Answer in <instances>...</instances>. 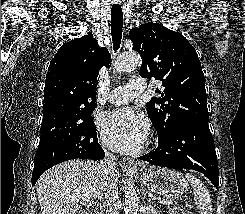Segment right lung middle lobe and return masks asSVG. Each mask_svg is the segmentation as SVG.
<instances>
[{
    "label": "right lung middle lobe",
    "instance_id": "1",
    "mask_svg": "<svg viewBox=\"0 0 245 214\" xmlns=\"http://www.w3.org/2000/svg\"><path fill=\"white\" fill-rule=\"evenodd\" d=\"M91 113L57 128L41 131L34 168L48 169L69 159L85 158L87 151L98 143Z\"/></svg>",
    "mask_w": 245,
    "mask_h": 214
}]
</instances>
